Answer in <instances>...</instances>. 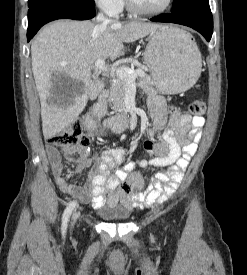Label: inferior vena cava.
Here are the masks:
<instances>
[{"label": "inferior vena cava", "mask_w": 247, "mask_h": 275, "mask_svg": "<svg viewBox=\"0 0 247 275\" xmlns=\"http://www.w3.org/2000/svg\"><path fill=\"white\" fill-rule=\"evenodd\" d=\"M97 21L100 22L103 26H107L108 24L112 23V25H115L116 22L110 19H107L103 13H100L97 17Z\"/></svg>", "instance_id": "obj_1"}]
</instances>
